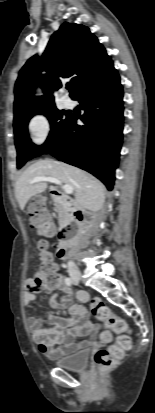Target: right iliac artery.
Listing matches in <instances>:
<instances>
[{
    "instance_id": "1",
    "label": "right iliac artery",
    "mask_w": 155,
    "mask_h": 413,
    "mask_svg": "<svg viewBox=\"0 0 155 413\" xmlns=\"http://www.w3.org/2000/svg\"><path fill=\"white\" fill-rule=\"evenodd\" d=\"M65 283H66L68 286H71V285L73 284V281H72L71 278L66 277V278H65Z\"/></svg>"
}]
</instances>
